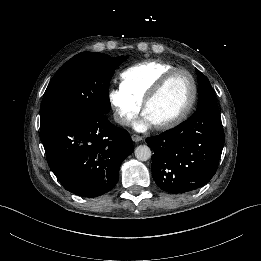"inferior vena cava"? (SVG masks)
Here are the masks:
<instances>
[{
    "instance_id": "602c4592",
    "label": "inferior vena cava",
    "mask_w": 261,
    "mask_h": 261,
    "mask_svg": "<svg viewBox=\"0 0 261 261\" xmlns=\"http://www.w3.org/2000/svg\"><path fill=\"white\" fill-rule=\"evenodd\" d=\"M114 120H115V122L119 123L120 125L128 124V120L125 117L120 116L118 113H114Z\"/></svg>"
}]
</instances>
